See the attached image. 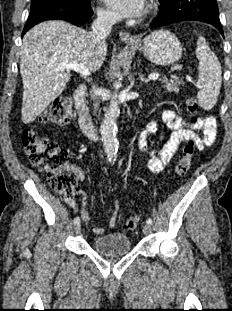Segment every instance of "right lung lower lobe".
<instances>
[{"instance_id": "right-lung-lower-lobe-1", "label": "right lung lower lobe", "mask_w": 232, "mask_h": 311, "mask_svg": "<svg viewBox=\"0 0 232 311\" xmlns=\"http://www.w3.org/2000/svg\"><path fill=\"white\" fill-rule=\"evenodd\" d=\"M93 14L91 7H81L70 2L44 1L31 5V11L27 19L22 35L34 25L53 19L68 21L76 26L87 22Z\"/></svg>"}]
</instances>
